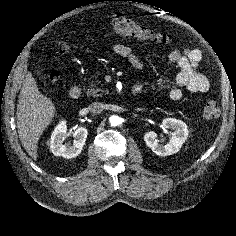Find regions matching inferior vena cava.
Returning a JSON list of instances; mask_svg holds the SVG:
<instances>
[{"mask_svg":"<svg viewBox=\"0 0 236 236\" xmlns=\"http://www.w3.org/2000/svg\"><path fill=\"white\" fill-rule=\"evenodd\" d=\"M88 110L93 114H99L104 110V105L100 102H93L88 106Z\"/></svg>","mask_w":236,"mask_h":236,"instance_id":"602c4592","label":"inferior vena cava"}]
</instances>
